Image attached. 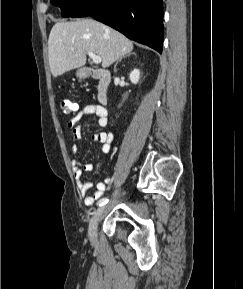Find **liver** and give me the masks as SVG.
<instances>
[{"mask_svg": "<svg viewBox=\"0 0 243 289\" xmlns=\"http://www.w3.org/2000/svg\"><path fill=\"white\" fill-rule=\"evenodd\" d=\"M133 43L120 32L93 19L58 22L48 39V57L53 77L86 64L88 51L102 58L107 68L130 54Z\"/></svg>", "mask_w": 243, "mask_h": 289, "instance_id": "obj_1", "label": "liver"}]
</instances>
